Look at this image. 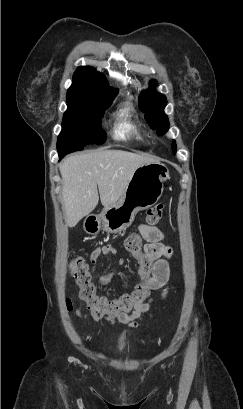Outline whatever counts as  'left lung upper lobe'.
<instances>
[{
  "label": "left lung upper lobe",
  "mask_w": 243,
  "mask_h": 409,
  "mask_svg": "<svg viewBox=\"0 0 243 409\" xmlns=\"http://www.w3.org/2000/svg\"><path fill=\"white\" fill-rule=\"evenodd\" d=\"M156 81H151L154 84ZM167 99L153 89L146 90L140 94V106L142 111L146 112V118L153 128L157 129L159 134H164L169 128L168 117L164 113ZM172 150L176 152V144L173 140Z\"/></svg>",
  "instance_id": "left-lung-upper-lobe-1"
}]
</instances>
